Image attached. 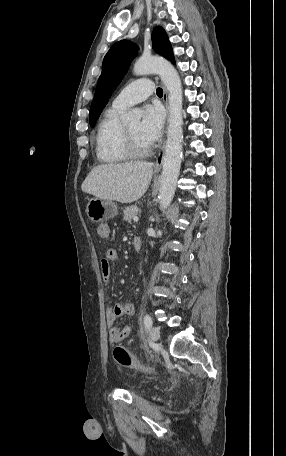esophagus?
Segmentation results:
<instances>
[{
	"label": "esophagus",
	"instance_id": "obj_1",
	"mask_svg": "<svg viewBox=\"0 0 286 456\" xmlns=\"http://www.w3.org/2000/svg\"><path fill=\"white\" fill-rule=\"evenodd\" d=\"M163 100H164L166 109L168 111L169 110V108H168V97H167V91H166L165 88H164ZM164 156H165V145H163L161 147V149L159 151V154L157 156V159L155 161V169L156 170H160L161 169L162 164H163V160H164Z\"/></svg>",
	"mask_w": 286,
	"mask_h": 456
}]
</instances>
